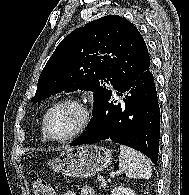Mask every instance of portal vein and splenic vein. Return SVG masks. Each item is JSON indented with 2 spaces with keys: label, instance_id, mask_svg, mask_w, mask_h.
<instances>
[{
  "label": "portal vein and splenic vein",
  "instance_id": "obj_1",
  "mask_svg": "<svg viewBox=\"0 0 189 195\" xmlns=\"http://www.w3.org/2000/svg\"><path fill=\"white\" fill-rule=\"evenodd\" d=\"M97 179H98V181H101L103 183V185H106V182L102 176H98Z\"/></svg>",
  "mask_w": 189,
  "mask_h": 195
}]
</instances>
